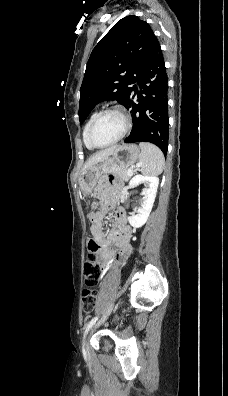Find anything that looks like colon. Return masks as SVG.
<instances>
[{
  "mask_svg": "<svg viewBox=\"0 0 228 396\" xmlns=\"http://www.w3.org/2000/svg\"><path fill=\"white\" fill-rule=\"evenodd\" d=\"M89 216L91 217V219H94L95 211H90ZM97 248L98 244L94 240H90L88 243V259L84 266L86 283L89 286L95 283L101 272V266L97 262L96 258ZM97 295V291L92 288H86L83 291L82 304L84 313L90 314L93 312L97 304Z\"/></svg>",
  "mask_w": 228,
  "mask_h": 396,
  "instance_id": "colon-1",
  "label": "colon"
}]
</instances>
